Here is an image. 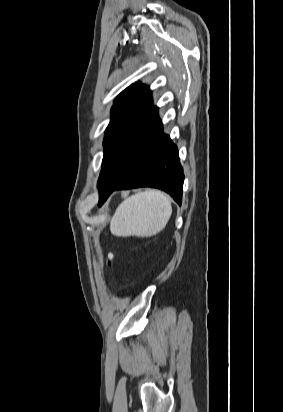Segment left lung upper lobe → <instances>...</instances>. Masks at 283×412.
Here are the masks:
<instances>
[{"label": "left lung upper lobe", "instance_id": "left-lung-upper-lobe-1", "mask_svg": "<svg viewBox=\"0 0 283 412\" xmlns=\"http://www.w3.org/2000/svg\"><path fill=\"white\" fill-rule=\"evenodd\" d=\"M157 111L149 87L140 83L132 84L115 99L105 131L104 157L127 159L129 168L125 175L135 169L149 148L160 123Z\"/></svg>", "mask_w": 283, "mask_h": 412}]
</instances>
